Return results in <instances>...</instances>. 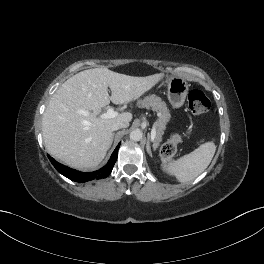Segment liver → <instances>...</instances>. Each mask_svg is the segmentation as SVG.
<instances>
[{
	"label": "liver",
	"mask_w": 264,
	"mask_h": 264,
	"mask_svg": "<svg viewBox=\"0 0 264 264\" xmlns=\"http://www.w3.org/2000/svg\"><path fill=\"white\" fill-rule=\"evenodd\" d=\"M163 78L161 73L134 77L107 68L88 69L70 77L52 96L43 114L46 149L73 168L98 166L112 144V126L120 122L128 126L133 117L131 113H121L104 118L102 108L110 101L117 105L128 103Z\"/></svg>",
	"instance_id": "6515ba94"
}]
</instances>
